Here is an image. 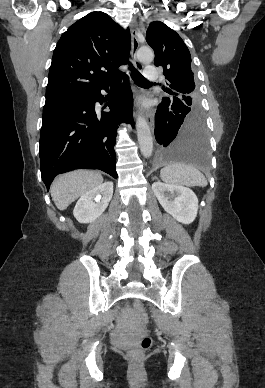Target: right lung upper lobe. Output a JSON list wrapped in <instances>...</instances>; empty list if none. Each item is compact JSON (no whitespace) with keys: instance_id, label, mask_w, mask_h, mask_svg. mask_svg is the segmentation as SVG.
<instances>
[{"instance_id":"right-lung-upper-lobe-1","label":"right lung upper lobe","mask_w":265,"mask_h":388,"mask_svg":"<svg viewBox=\"0 0 265 388\" xmlns=\"http://www.w3.org/2000/svg\"><path fill=\"white\" fill-rule=\"evenodd\" d=\"M126 32L104 12H91L62 34L53 53L46 101L65 99L109 85L128 61Z\"/></svg>"}]
</instances>
